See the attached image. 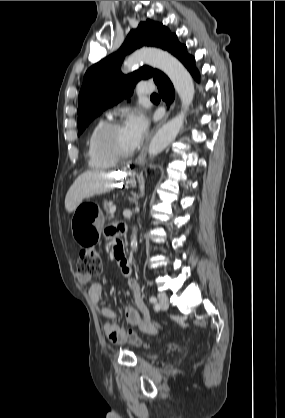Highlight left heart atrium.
Listing matches in <instances>:
<instances>
[{"label":"left heart atrium","mask_w":285,"mask_h":418,"mask_svg":"<svg viewBox=\"0 0 285 418\" xmlns=\"http://www.w3.org/2000/svg\"><path fill=\"white\" fill-rule=\"evenodd\" d=\"M124 128L130 139L133 146H137L148 129V119L144 114L139 111L131 112L125 121Z\"/></svg>","instance_id":"1"}]
</instances>
